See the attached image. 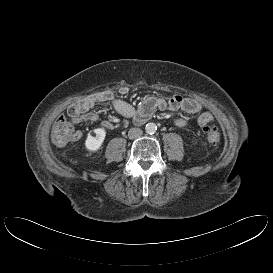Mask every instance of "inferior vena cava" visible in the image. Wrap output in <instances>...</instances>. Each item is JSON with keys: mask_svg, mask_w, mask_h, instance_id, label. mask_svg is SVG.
I'll use <instances>...</instances> for the list:
<instances>
[{"mask_svg": "<svg viewBox=\"0 0 273 273\" xmlns=\"http://www.w3.org/2000/svg\"><path fill=\"white\" fill-rule=\"evenodd\" d=\"M143 134L142 130L140 128H131L128 132V137L130 139H136L141 137Z\"/></svg>", "mask_w": 273, "mask_h": 273, "instance_id": "602c4592", "label": "inferior vena cava"}]
</instances>
